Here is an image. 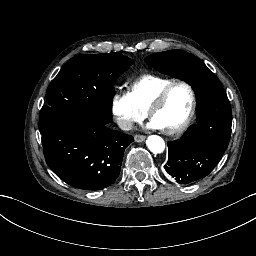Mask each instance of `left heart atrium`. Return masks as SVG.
<instances>
[{
  "label": "left heart atrium",
  "instance_id": "left-heart-atrium-1",
  "mask_svg": "<svg viewBox=\"0 0 256 256\" xmlns=\"http://www.w3.org/2000/svg\"><path fill=\"white\" fill-rule=\"evenodd\" d=\"M147 127L152 130H159V131L165 132L164 124L158 119L153 117L150 119L149 123L147 124Z\"/></svg>",
  "mask_w": 256,
  "mask_h": 256
}]
</instances>
